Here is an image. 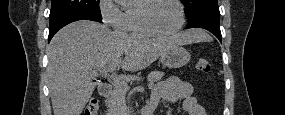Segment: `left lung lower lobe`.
I'll use <instances>...</instances> for the list:
<instances>
[{
    "instance_id": "1",
    "label": "left lung lower lobe",
    "mask_w": 285,
    "mask_h": 115,
    "mask_svg": "<svg viewBox=\"0 0 285 115\" xmlns=\"http://www.w3.org/2000/svg\"><path fill=\"white\" fill-rule=\"evenodd\" d=\"M186 28H204L213 33L221 42L220 12L218 5H209L200 8L188 17Z\"/></svg>"
}]
</instances>
